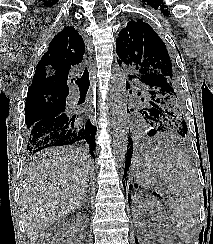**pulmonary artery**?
Listing matches in <instances>:
<instances>
[{"mask_svg":"<svg viewBox=\"0 0 213 244\" xmlns=\"http://www.w3.org/2000/svg\"><path fill=\"white\" fill-rule=\"evenodd\" d=\"M71 98H72L73 101H76L78 99V93L77 92H73L71 94Z\"/></svg>","mask_w":213,"mask_h":244,"instance_id":"obj_1","label":"pulmonary artery"}]
</instances>
